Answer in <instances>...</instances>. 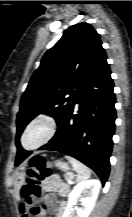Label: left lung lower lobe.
Instances as JSON below:
<instances>
[{
	"label": "left lung lower lobe",
	"mask_w": 132,
	"mask_h": 217,
	"mask_svg": "<svg viewBox=\"0 0 132 217\" xmlns=\"http://www.w3.org/2000/svg\"><path fill=\"white\" fill-rule=\"evenodd\" d=\"M113 88L111 71L105 61L61 118L55 136L39 150L59 151L78 159L93 169L105 184L116 119ZM76 104H79L77 111ZM17 148L16 166L30 155L19 142Z\"/></svg>",
	"instance_id": "left-lung-lower-lobe-1"
}]
</instances>
